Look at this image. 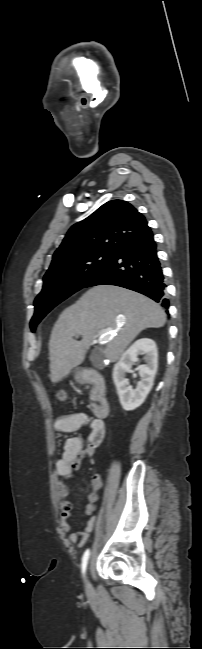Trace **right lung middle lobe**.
I'll return each mask as SVG.
<instances>
[{
  "mask_svg": "<svg viewBox=\"0 0 202 649\" xmlns=\"http://www.w3.org/2000/svg\"><path fill=\"white\" fill-rule=\"evenodd\" d=\"M114 252L91 251L61 262L43 278V289L34 301L31 331L56 305L84 285L114 256Z\"/></svg>",
  "mask_w": 202,
  "mask_h": 649,
  "instance_id": "1",
  "label": "right lung middle lobe"
}]
</instances>
